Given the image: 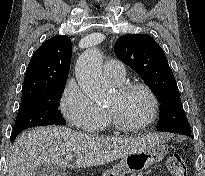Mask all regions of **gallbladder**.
<instances>
[{
    "mask_svg": "<svg viewBox=\"0 0 205 176\" xmlns=\"http://www.w3.org/2000/svg\"><path fill=\"white\" fill-rule=\"evenodd\" d=\"M65 170L54 164H41L33 176H64Z\"/></svg>",
    "mask_w": 205,
    "mask_h": 176,
    "instance_id": "1",
    "label": "gallbladder"
}]
</instances>
